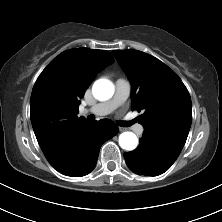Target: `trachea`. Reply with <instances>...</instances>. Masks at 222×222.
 Segmentation results:
<instances>
[{"mask_svg":"<svg viewBox=\"0 0 222 222\" xmlns=\"http://www.w3.org/2000/svg\"><path fill=\"white\" fill-rule=\"evenodd\" d=\"M136 120H132V121H119L118 125L121 127H129L130 125H132L133 123H135Z\"/></svg>","mask_w":222,"mask_h":222,"instance_id":"1","label":"trachea"}]
</instances>
